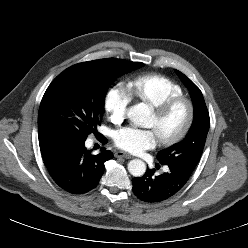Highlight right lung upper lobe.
Masks as SVG:
<instances>
[{
    "mask_svg": "<svg viewBox=\"0 0 248 248\" xmlns=\"http://www.w3.org/2000/svg\"><path fill=\"white\" fill-rule=\"evenodd\" d=\"M49 139V137H39V143H43L45 141H47Z\"/></svg>",
    "mask_w": 248,
    "mask_h": 248,
    "instance_id": "right-lung-upper-lobe-1",
    "label": "right lung upper lobe"
}]
</instances>
